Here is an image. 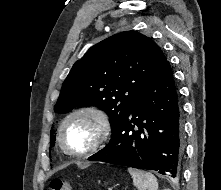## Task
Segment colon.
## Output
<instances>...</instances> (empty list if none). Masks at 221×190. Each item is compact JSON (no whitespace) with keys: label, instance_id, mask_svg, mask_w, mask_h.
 Masks as SVG:
<instances>
[{"label":"colon","instance_id":"1","mask_svg":"<svg viewBox=\"0 0 221 190\" xmlns=\"http://www.w3.org/2000/svg\"><path fill=\"white\" fill-rule=\"evenodd\" d=\"M49 190H73L71 185L61 179H53L50 182Z\"/></svg>","mask_w":221,"mask_h":190}]
</instances>
